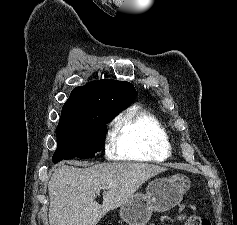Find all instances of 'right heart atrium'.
<instances>
[{
    "mask_svg": "<svg viewBox=\"0 0 237 225\" xmlns=\"http://www.w3.org/2000/svg\"><path fill=\"white\" fill-rule=\"evenodd\" d=\"M106 153L109 156H112L114 153V144H113V138L111 136L108 137V143L106 145Z\"/></svg>",
    "mask_w": 237,
    "mask_h": 225,
    "instance_id": "d8ad5b80",
    "label": "right heart atrium"
}]
</instances>
